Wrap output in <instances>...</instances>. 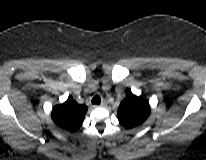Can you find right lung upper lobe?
Listing matches in <instances>:
<instances>
[{"instance_id": "1", "label": "right lung upper lobe", "mask_w": 206, "mask_h": 160, "mask_svg": "<svg viewBox=\"0 0 206 160\" xmlns=\"http://www.w3.org/2000/svg\"><path fill=\"white\" fill-rule=\"evenodd\" d=\"M87 110V106L68 98L64 103L53 108L52 120L58 127L75 132L82 125Z\"/></svg>"}]
</instances>
